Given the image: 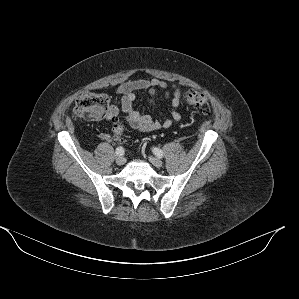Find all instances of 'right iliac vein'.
<instances>
[{"instance_id": "1", "label": "right iliac vein", "mask_w": 299, "mask_h": 299, "mask_svg": "<svg viewBox=\"0 0 299 299\" xmlns=\"http://www.w3.org/2000/svg\"><path fill=\"white\" fill-rule=\"evenodd\" d=\"M125 162H126V159L122 156L116 158V163L118 165H123V164H125Z\"/></svg>"}]
</instances>
